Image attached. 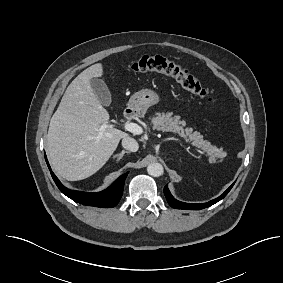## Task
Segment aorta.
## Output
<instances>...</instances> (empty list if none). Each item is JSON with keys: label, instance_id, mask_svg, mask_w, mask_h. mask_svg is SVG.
<instances>
[{"label": "aorta", "instance_id": "obj_1", "mask_svg": "<svg viewBox=\"0 0 283 283\" xmlns=\"http://www.w3.org/2000/svg\"><path fill=\"white\" fill-rule=\"evenodd\" d=\"M147 172L153 177H159L163 174L164 169L160 163H151L147 167Z\"/></svg>", "mask_w": 283, "mask_h": 283}]
</instances>
